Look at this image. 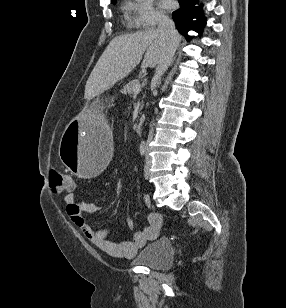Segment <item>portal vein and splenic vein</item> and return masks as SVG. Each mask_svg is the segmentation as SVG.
Here are the masks:
<instances>
[{"mask_svg":"<svg viewBox=\"0 0 286 308\" xmlns=\"http://www.w3.org/2000/svg\"><path fill=\"white\" fill-rule=\"evenodd\" d=\"M141 85L140 84H137L135 87H134V93L135 94H138L140 91H141Z\"/></svg>","mask_w":286,"mask_h":308,"instance_id":"obj_1","label":"portal vein and splenic vein"}]
</instances>
